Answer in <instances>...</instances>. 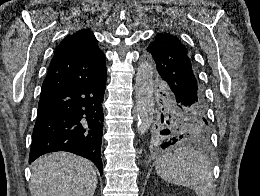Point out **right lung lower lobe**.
Wrapping results in <instances>:
<instances>
[{
  "instance_id": "obj_1",
  "label": "right lung lower lobe",
  "mask_w": 260,
  "mask_h": 196,
  "mask_svg": "<svg viewBox=\"0 0 260 196\" xmlns=\"http://www.w3.org/2000/svg\"><path fill=\"white\" fill-rule=\"evenodd\" d=\"M106 75L41 97L29 162L55 151L92 160L102 175L100 148Z\"/></svg>"
}]
</instances>
